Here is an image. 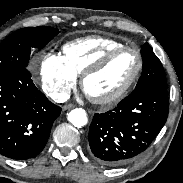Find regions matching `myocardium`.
Returning a JSON list of instances; mask_svg holds the SVG:
<instances>
[{
  "label": "myocardium",
  "instance_id": "f54148a6",
  "mask_svg": "<svg viewBox=\"0 0 183 183\" xmlns=\"http://www.w3.org/2000/svg\"><path fill=\"white\" fill-rule=\"evenodd\" d=\"M123 51L134 52L138 60L137 68L132 78L129 80V82L119 91H117L115 94L105 98H98V97L88 95L85 91L86 80L90 76L103 70L109 64V62L113 59L114 56H116L118 53ZM143 65H144L143 56L140 50L137 49L136 47L125 46V45L115 47L109 50L108 52H106L104 55H102L95 63H93L91 66H89L87 69L83 71L80 79L81 88L91 102L99 105H114L118 103L120 100H122L129 93L132 87L135 85V83L137 82L138 78L141 75Z\"/></svg>",
  "mask_w": 183,
  "mask_h": 183
}]
</instances>
